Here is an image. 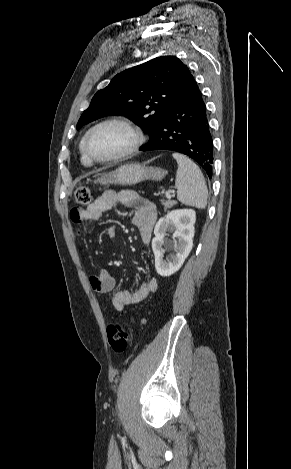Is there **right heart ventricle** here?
Segmentation results:
<instances>
[{
	"mask_svg": "<svg viewBox=\"0 0 291 469\" xmlns=\"http://www.w3.org/2000/svg\"><path fill=\"white\" fill-rule=\"evenodd\" d=\"M83 141H84V138L81 140L80 144H79V150H80V158H81V162L83 165L85 166H90L92 164V162L90 160H88V158L85 156L84 154V151H83Z\"/></svg>",
	"mask_w": 291,
	"mask_h": 469,
	"instance_id": "e07e8e85",
	"label": "right heart ventricle"
}]
</instances>
